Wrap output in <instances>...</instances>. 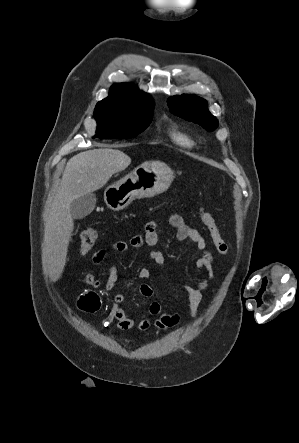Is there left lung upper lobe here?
Here are the masks:
<instances>
[{"label": "left lung upper lobe", "mask_w": 299, "mask_h": 443, "mask_svg": "<svg viewBox=\"0 0 299 443\" xmlns=\"http://www.w3.org/2000/svg\"><path fill=\"white\" fill-rule=\"evenodd\" d=\"M206 104L202 98L189 94L168 99V106L174 115L213 131L218 126V120L209 112Z\"/></svg>", "instance_id": "left-lung-upper-lobe-1"}]
</instances>
